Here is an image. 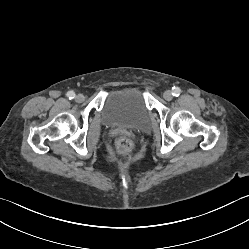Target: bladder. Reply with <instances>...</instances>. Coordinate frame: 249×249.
I'll list each match as a JSON object with an SVG mask.
<instances>
[{
  "label": "bladder",
  "instance_id": "1",
  "mask_svg": "<svg viewBox=\"0 0 249 249\" xmlns=\"http://www.w3.org/2000/svg\"><path fill=\"white\" fill-rule=\"evenodd\" d=\"M150 117L144 96L138 88L125 86L107 92L101 109L104 125L145 129L149 126Z\"/></svg>",
  "mask_w": 249,
  "mask_h": 249
}]
</instances>
